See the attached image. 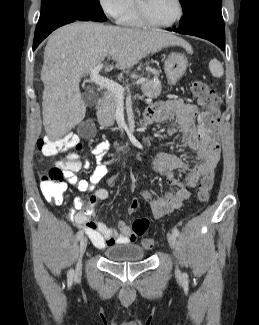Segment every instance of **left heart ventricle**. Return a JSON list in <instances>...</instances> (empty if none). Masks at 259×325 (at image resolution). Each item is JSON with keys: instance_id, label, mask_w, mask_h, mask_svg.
Masks as SVG:
<instances>
[{"instance_id": "1", "label": "left heart ventricle", "mask_w": 259, "mask_h": 325, "mask_svg": "<svg viewBox=\"0 0 259 325\" xmlns=\"http://www.w3.org/2000/svg\"><path fill=\"white\" fill-rule=\"evenodd\" d=\"M146 15L154 22H170L177 13L174 0H141Z\"/></svg>"}]
</instances>
